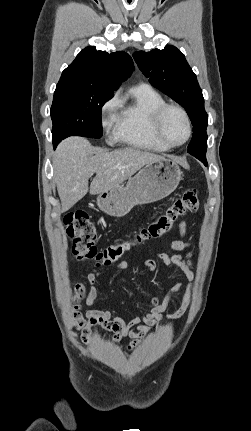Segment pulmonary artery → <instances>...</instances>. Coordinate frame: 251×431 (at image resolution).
Wrapping results in <instances>:
<instances>
[{
    "instance_id": "1",
    "label": "pulmonary artery",
    "mask_w": 251,
    "mask_h": 431,
    "mask_svg": "<svg viewBox=\"0 0 251 431\" xmlns=\"http://www.w3.org/2000/svg\"><path fill=\"white\" fill-rule=\"evenodd\" d=\"M139 86H148L147 84H140Z\"/></svg>"
}]
</instances>
